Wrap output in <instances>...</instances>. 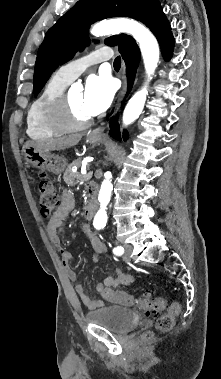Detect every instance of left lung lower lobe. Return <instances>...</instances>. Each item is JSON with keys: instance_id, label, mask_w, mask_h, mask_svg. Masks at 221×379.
<instances>
[{"instance_id": "0a47b994", "label": "left lung lower lobe", "mask_w": 221, "mask_h": 379, "mask_svg": "<svg viewBox=\"0 0 221 379\" xmlns=\"http://www.w3.org/2000/svg\"><path fill=\"white\" fill-rule=\"evenodd\" d=\"M142 22L147 27H149V29L156 36L160 44L163 57L165 59H169L174 47V38L172 36L171 26L166 19L162 7L159 3L152 6ZM119 52L121 53L127 65V75L129 78L130 90L136 73V68L140 60V51L135 40L130 36H126L119 44ZM110 128V135L113 138L121 140L119 125L115 120V117L111 119ZM126 138L127 133L124 131L123 139L125 140Z\"/></svg>"}]
</instances>
